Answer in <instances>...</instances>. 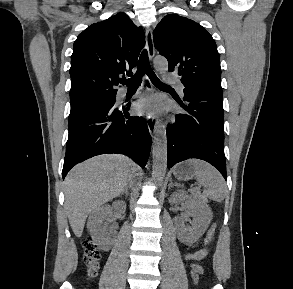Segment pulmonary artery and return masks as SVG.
I'll list each match as a JSON object with an SVG mask.
<instances>
[{
	"label": "pulmonary artery",
	"mask_w": 293,
	"mask_h": 289,
	"mask_svg": "<svg viewBox=\"0 0 293 289\" xmlns=\"http://www.w3.org/2000/svg\"><path fill=\"white\" fill-rule=\"evenodd\" d=\"M166 80H167L168 82L175 83V84L177 85V88H178L179 92H180V93H183V89H184V87H183V84H182L179 80H177V79H175V78H172V77H167ZM123 93H124V92H123Z\"/></svg>",
	"instance_id": "pulmonary-artery-1"
}]
</instances>
